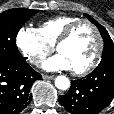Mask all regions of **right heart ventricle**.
I'll list each match as a JSON object with an SVG mask.
<instances>
[{"instance_id":"obj_1","label":"right heart ventricle","mask_w":114,"mask_h":114,"mask_svg":"<svg viewBox=\"0 0 114 114\" xmlns=\"http://www.w3.org/2000/svg\"><path fill=\"white\" fill-rule=\"evenodd\" d=\"M79 17L71 15H60L43 21L37 28L43 39L50 45H55L62 32Z\"/></svg>"}]
</instances>
